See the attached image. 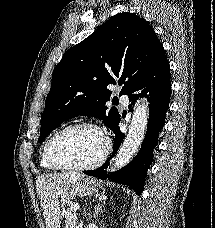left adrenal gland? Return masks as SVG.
I'll list each match as a JSON object with an SVG mask.
<instances>
[{
  "label": "left adrenal gland",
  "mask_w": 215,
  "mask_h": 228,
  "mask_svg": "<svg viewBox=\"0 0 215 228\" xmlns=\"http://www.w3.org/2000/svg\"><path fill=\"white\" fill-rule=\"evenodd\" d=\"M103 204H106V202H103ZM103 204H97L95 208V214H93V218H97L99 212H102L101 208H103Z\"/></svg>",
  "instance_id": "a2214340"
}]
</instances>
